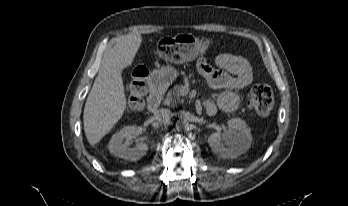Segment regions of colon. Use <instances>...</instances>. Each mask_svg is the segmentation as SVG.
Wrapping results in <instances>:
<instances>
[{
	"label": "colon",
	"mask_w": 348,
	"mask_h": 206,
	"mask_svg": "<svg viewBox=\"0 0 348 206\" xmlns=\"http://www.w3.org/2000/svg\"><path fill=\"white\" fill-rule=\"evenodd\" d=\"M198 41L197 37L176 35L162 39L157 47V57L162 61L181 62L193 55ZM148 71L144 66H137L132 72L129 85L130 109H137L143 105L145 95V80ZM274 97L271 88L265 84L255 85L249 94L248 106L258 115H267L273 108Z\"/></svg>",
	"instance_id": "colon-1"
}]
</instances>
